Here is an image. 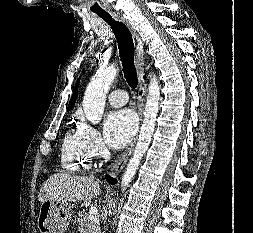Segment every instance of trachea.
<instances>
[{"instance_id": "obj_1", "label": "trachea", "mask_w": 253, "mask_h": 233, "mask_svg": "<svg viewBox=\"0 0 253 233\" xmlns=\"http://www.w3.org/2000/svg\"><path fill=\"white\" fill-rule=\"evenodd\" d=\"M98 16L104 19L113 29L118 43L124 77L132 89L136 88L138 80L134 65V45L129 29L122 22L114 21L106 12L98 13Z\"/></svg>"}]
</instances>
